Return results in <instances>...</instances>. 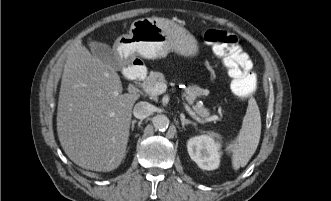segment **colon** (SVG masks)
<instances>
[{"instance_id": "obj_1", "label": "colon", "mask_w": 331, "mask_h": 201, "mask_svg": "<svg viewBox=\"0 0 331 201\" xmlns=\"http://www.w3.org/2000/svg\"><path fill=\"white\" fill-rule=\"evenodd\" d=\"M204 39L227 67L233 93L242 100H250L257 89V80L251 71L249 57L236 36L224 30L210 29Z\"/></svg>"}]
</instances>
